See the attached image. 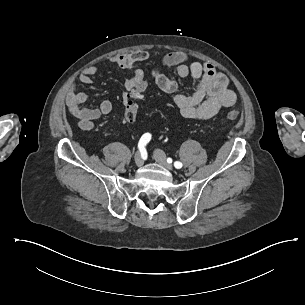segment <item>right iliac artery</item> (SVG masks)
I'll return each mask as SVG.
<instances>
[{"instance_id": "1", "label": "right iliac artery", "mask_w": 305, "mask_h": 305, "mask_svg": "<svg viewBox=\"0 0 305 305\" xmlns=\"http://www.w3.org/2000/svg\"><path fill=\"white\" fill-rule=\"evenodd\" d=\"M151 139V134L150 133H145L144 135H142L139 143H138V148L140 151H142L143 149H145L146 144L150 141Z\"/></svg>"}]
</instances>
